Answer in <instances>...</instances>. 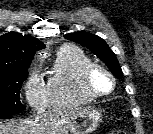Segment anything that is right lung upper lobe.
I'll list each match as a JSON object with an SVG mask.
<instances>
[{"label": "right lung upper lobe", "instance_id": "right-lung-upper-lobe-1", "mask_svg": "<svg viewBox=\"0 0 153 134\" xmlns=\"http://www.w3.org/2000/svg\"><path fill=\"white\" fill-rule=\"evenodd\" d=\"M44 48L30 35L10 32L0 36V72L27 71L35 52Z\"/></svg>", "mask_w": 153, "mask_h": 134}]
</instances>
